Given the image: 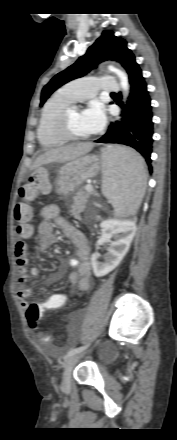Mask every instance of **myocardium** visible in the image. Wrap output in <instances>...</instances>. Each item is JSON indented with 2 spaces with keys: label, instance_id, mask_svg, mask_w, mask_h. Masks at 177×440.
<instances>
[{
  "label": "myocardium",
  "instance_id": "1",
  "mask_svg": "<svg viewBox=\"0 0 177 440\" xmlns=\"http://www.w3.org/2000/svg\"><path fill=\"white\" fill-rule=\"evenodd\" d=\"M73 108H77V107L74 106L73 104H70V105L64 107L60 111V113L55 121V124H54V130H55L56 134L58 135V137L63 142H76V141L86 140L88 138V135L87 136H76L70 132V130H69V114Z\"/></svg>",
  "mask_w": 177,
  "mask_h": 440
}]
</instances>
